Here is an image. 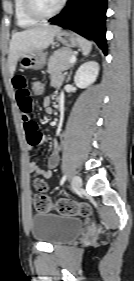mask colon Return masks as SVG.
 Here are the masks:
<instances>
[{
	"instance_id": "obj_1",
	"label": "colon",
	"mask_w": 134,
	"mask_h": 281,
	"mask_svg": "<svg viewBox=\"0 0 134 281\" xmlns=\"http://www.w3.org/2000/svg\"><path fill=\"white\" fill-rule=\"evenodd\" d=\"M46 86L42 80H34L31 83V92L34 96H41L45 93ZM35 186L38 190L44 191L47 185L42 180H37ZM33 205L38 212L56 210L63 215L87 216L91 213V208L85 203H79L68 199H59L53 202L46 194H37L33 198Z\"/></svg>"
}]
</instances>
